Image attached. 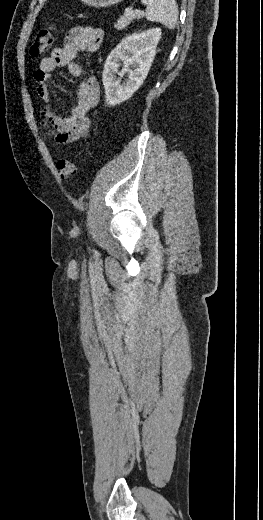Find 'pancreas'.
I'll list each match as a JSON object with an SVG mask.
<instances>
[{"label":"pancreas","instance_id":"obj_1","mask_svg":"<svg viewBox=\"0 0 263 520\" xmlns=\"http://www.w3.org/2000/svg\"><path fill=\"white\" fill-rule=\"evenodd\" d=\"M143 17V13L140 11H133L129 9L125 11L124 15L120 16L117 20V23L114 24V27L117 30L125 29L134 19H141Z\"/></svg>","mask_w":263,"mask_h":520}]
</instances>
